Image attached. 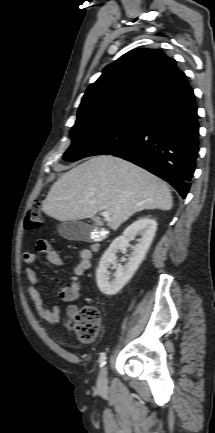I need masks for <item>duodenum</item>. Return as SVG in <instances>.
Masks as SVG:
<instances>
[{"label":"duodenum","instance_id":"obj_1","mask_svg":"<svg viewBox=\"0 0 215 433\" xmlns=\"http://www.w3.org/2000/svg\"><path fill=\"white\" fill-rule=\"evenodd\" d=\"M98 248V244L97 243H94L93 244V249H97Z\"/></svg>","mask_w":215,"mask_h":433}]
</instances>
